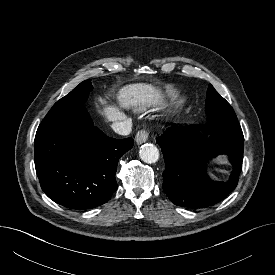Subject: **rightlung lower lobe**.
Listing matches in <instances>:
<instances>
[{
	"instance_id": "right-lung-lower-lobe-1",
	"label": "right lung lower lobe",
	"mask_w": 275,
	"mask_h": 275,
	"mask_svg": "<svg viewBox=\"0 0 275 275\" xmlns=\"http://www.w3.org/2000/svg\"><path fill=\"white\" fill-rule=\"evenodd\" d=\"M132 138L114 139L80 107L43 120L35 140V168L44 193L74 210L106 203L117 190L115 171Z\"/></svg>"
}]
</instances>
